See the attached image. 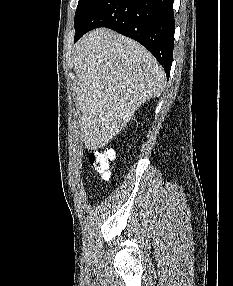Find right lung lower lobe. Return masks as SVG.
<instances>
[{
	"mask_svg": "<svg viewBox=\"0 0 233 286\" xmlns=\"http://www.w3.org/2000/svg\"><path fill=\"white\" fill-rule=\"evenodd\" d=\"M174 0H94L75 26L76 42L89 30L113 29L147 48L163 66L167 79L173 59Z\"/></svg>",
	"mask_w": 233,
	"mask_h": 286,
	"instance_id": "obj_1",
	"label": "right lung lower lobe"
}]
</instances>
